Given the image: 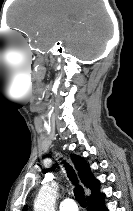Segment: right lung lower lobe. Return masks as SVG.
I'll list each match as a JSON object with an SVG mask.
<instances>
[{"label":"right lung lower lobe","mask_w":133,"mask_h":211,"mask_svg":"<svg viewBox=\"0 0 133 211\" xmlns=\"http://www.w3.org/2000/svg\"><path fill=\"white\" fill-rule=\"evenodd\" d=\"M104 196L95 201H88V211H108L104 207Z\"/></svg>","instance_id":"right-lung-lower-lobe-1"}]
</instances>
